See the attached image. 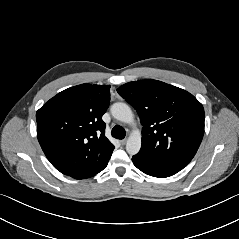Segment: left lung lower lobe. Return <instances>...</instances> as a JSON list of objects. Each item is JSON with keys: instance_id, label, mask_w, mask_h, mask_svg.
<instances>
[{"instance_id": "left-lung-lower-lobe-1", "label": "left lung lower lobe", "mask_w": 239, "mask_h": 239, "mask_svg": "<svg viewBox=\"0 0 239 239\" xmlns=\"http://www.w3.org/2000/svg\"><path fill=\"white\" fill-rule=\"evenodd\" d=\"M132 161L134 165L145 174L158 178L169 177L179 172V170L144 159L139 155L133 156Z\"/></svg>"}]
</instances>
